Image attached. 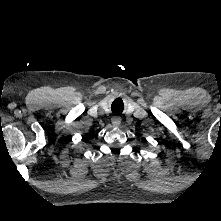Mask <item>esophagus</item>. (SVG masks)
Returning a JSON list of instances; mask_svg holds the SVG:
<instances>
[{
	"label": "esophagus",
	"mask_w": 221,
	"mask_h": 221,
	"mask_svg": "<svg viewBox=\"0 0 221 221\" xmlns=\"http://www.w3.org/2000/svg\"><path fill=\"white\" fill-rule=\"evenodd\" d=\"M111 121L114 127H118L121 124V118L118 116L112 117Z\"/></svg>",
	"instance_id": "34e87169"
}]
</instances>
